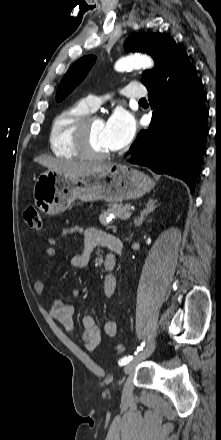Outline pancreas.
I'll return each mask as SVG.
<instances>
[{"instance_id": "cf45deb5", "label": "pancreas", "mask_w": 221, "mask_h": 440, "mask_svg": "<svg viewBox=\"0 0 221 440\" xmlns=\"http://www.w3.org/2000/svg\"><path fill=\"white\" fill-rule=\"evenodd\" d=\"M131 208L130 204L121 205V204H113L109 205L107 210L103 211L99 216V221L102 225L107 226L108 222L106 221L107 217L110 215H114L117 218L122 219L123 215L128 212Z\"/></svg>"}]
</instances>
